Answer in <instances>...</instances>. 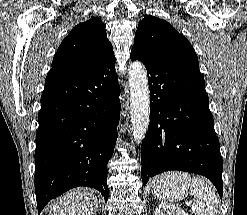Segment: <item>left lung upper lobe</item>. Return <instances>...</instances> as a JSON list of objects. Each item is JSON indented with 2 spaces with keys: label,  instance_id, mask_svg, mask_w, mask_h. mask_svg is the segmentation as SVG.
Here are the masks:
<instances>
[{
  "label": "left lung upper lobe",
  "instance_id": "left-lung-upper-lobe-1",
  "mask_svg": "<svg viewBox=\"0 0 247 215\" xmlns=\"http://www.w3.org/2000/svg\"><path fill=\"white\" fill-rule=\"evenodd\" d=\"M132 51L163 65L200 73L197 55L189 41L168 22L154 16L145 17L138 25Z\"/></svg>",
  "mask_w": 247,
  "mask_h": 215
}]
</instances>
